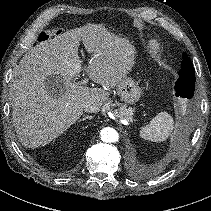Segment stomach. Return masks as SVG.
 Here are the masks:
<instances>
[{
  "instance_id": "1",
  "label": "stomach",
  "mask_w": 211,
  "mask_h": 211,
  "mask_svg": "<svg viewBox=\"0 0 211 211\" xmlns=\"http://www.w3.org/2000/svg\"><path fill=\"white\" fill-rule=\"evenodd\" d=\"M116 90L120 98L129 104H134L141 96V88L138 83L127 76L118 82Z\"/></svg>"
}]
</instances>
